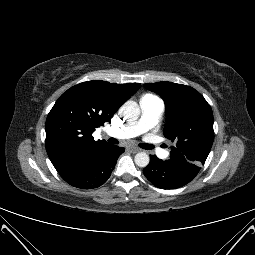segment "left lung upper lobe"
<instances>
[{"label": "left lung upper lobe", "instance_id": "5c2ea615", "mask_svg": "<svg viewBox=\"0 0 255 255\" xmlns=\"http://www.w3.org/2000/svg\"><path fill=\"white\" fill-rule=\"evenodd\" d=\"M166 106L164 136L176 143L167 163L199 172L210 152L213 113L205 98L192 87L172 82L147 83Z\"/></svg>", "mask_w": 255, "mask_h": 255}]
</instances>
